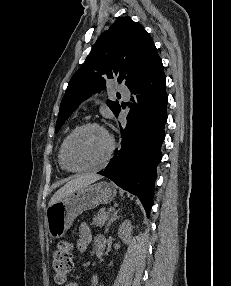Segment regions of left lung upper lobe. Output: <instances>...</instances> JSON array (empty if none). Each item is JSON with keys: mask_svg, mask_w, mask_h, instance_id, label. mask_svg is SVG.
<instances>
[{"mask_svg": "<svg viewBox=\"0 0 231 286\" xmlns=\"http://www.w3.org/2000/svg\"><path fill=\"white\" fill-rule=\"evenodd\" d=\"M158 58L147 31L129 16L118 18L98 38L85 63L71 78L61 102L55 133L83 100L106 88L108 79L117 77L119 83L129 86ZM108 105L117 116L118 101H108Z\"/></svg>", "mask_w": 231, "mask_h": 286, "instance_id": "1", "label": "left lung upper lobe"}]
</instances>
